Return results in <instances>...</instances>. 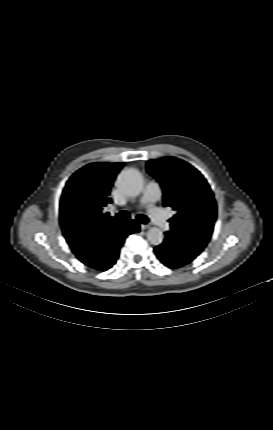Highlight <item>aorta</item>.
<instances>
[{"instance_id": "1", "label": "aorta", "mask_w": 273, "mask_h": 430, "mask_svg": "<svg viewBox=\"0 0 273 430\" xmlns=\"http://www.w3.org/2000/svg\"><path fill=\"white\" fill-rule=\"evenodd\" d=\"M116 185L118 189L128 197H136L143 188V178L140 172L135 169L123 170L117 177ZM164 235L162 231L153 227L147 232L148 241L157 246L163 242Z\"/></svg>"}]
</instances>
